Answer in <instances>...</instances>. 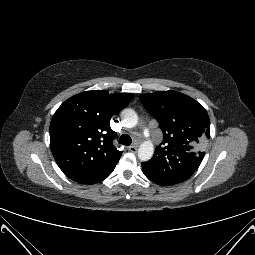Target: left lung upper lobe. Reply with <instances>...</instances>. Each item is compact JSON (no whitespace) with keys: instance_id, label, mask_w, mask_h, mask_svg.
<instances>
[{"instance_id":"1","label":"left lung upper lobe","mask_w":255,"mask_h":255,"mask_svg":"<svg viewBox=\"0 0 255 255\" xmlns=\"http://www.w3.org/2000/svg\"><path fill=\"white\" fill-rule=\"evenodd\" d=\"M140 100L164 133L152 159L142 163L143 173L168 185L187 180L200 166L210 138L206 110L189 96L172 90L144 94Z\"/></svg>"}]
</instances>
